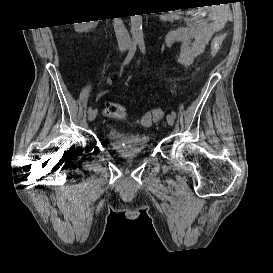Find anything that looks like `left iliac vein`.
Returning a JSON list of instances; mask_svg holds the SVG:
<instances>
[{
  "mask_svg": "<svg viewBox=\"0 0 273 273\" xmlns=\"http://www.w3.org/2000/svg\"><path fill=\"white\" fill-rule=\"evenodd\" d=\"M167 122L170 126L174 124V117L171 114L167 115Z\"/></svg>",
  "mask_w": 273,
  "mask_h": 273,
  "instance_id": "1",
  "label": "left iliac vein"
}]
</instances>
